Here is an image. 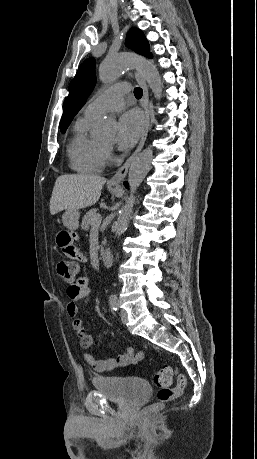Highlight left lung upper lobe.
Wrapping results in <instances>:
<instances>
[{"label": "left lung upper lobe", "mask_w": 257, "mask_h": 459, "mask_svg": "<svg viewBox=\"0 0 257 459\" xmlns=\"http://www.w3.org/2000/svg\"><path fill=\"white\" fill-rule=\"evenodd\" d=\"M126 46L135 52L151 58L149 43L141 30L131 28L126 37ZM96 82L95 59H86L79 67L70 87L67 97L63 117L60 122L62 133L70 125L74 116L79 112L87 100V96L92 92Z\"/></svg>", "instance_id": "left-lung-upper-lobe-1"}]
</instances>
